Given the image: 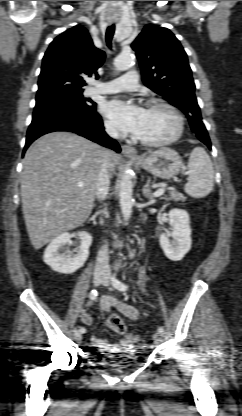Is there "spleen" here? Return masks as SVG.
Instances as JSON below:
<instances>
[{"instance_id":"1","label":"spleen","mask_w":242,"mask_h":416,"mask_svg":"<svg viewBox=\"0 0 242 416\" xmlns=\"http://www.w3.org/2000/svg\"><path fill=\"white\" fill-rule=\"evenodd\" d=\"M188 182L184 191L194 198L207 196L214 186V169L207 152L201 147H195L189 157Z\"/></svg>"}]
</instances>
